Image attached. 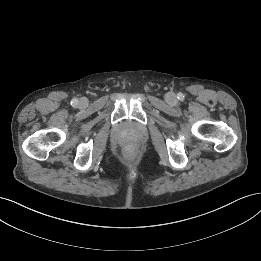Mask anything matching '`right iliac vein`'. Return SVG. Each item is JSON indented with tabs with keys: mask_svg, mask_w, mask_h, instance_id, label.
I'll return each instance as SVG.
<instances>
[{
	"mask_svg": "<svg viewBox=\"0 0 261 261\" xmlns=\"http://www.w3.org/2000/svg\"><path fill=\"white\" fill-rule=\"evenodd\" d=\"M80 104L83 105V106H85V105L87 104V99L82 98V99L80 100Z\"/></svg>",
	"mask_w": 261,
	"mask_h": 261,
	"instance_id": "obj_1",
	"label": "right iliac vein"
}]
</instances>
